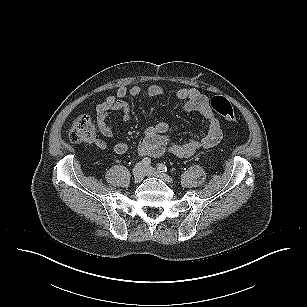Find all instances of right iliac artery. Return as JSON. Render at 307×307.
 Instances as JSON below:
<instances>
[{
  "mask_svg": "<svg viewBox=\"0 0 307 307\" xmlns=\"http://www.w3.org/2000/svg\"><path fill=\"white\" fill-rule=\"evenodd\" d=\"M142 164H143L144 166H149V165L151 164V160H150L148 157L143 158V159H142Z\"/></svg>",
  "mask_w": 307,
  "mask_h": 307,
  "instance_id": "1",
  "label": "right iliac artery"
}]
</instances>
